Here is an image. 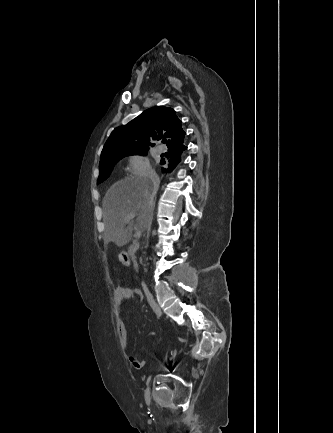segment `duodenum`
<instances>
[{
    "label": "duodenum",
    "instance_id": "obj_1",
    "mask_svg": "<svg viewBox=\"0 0 333 433\" xmlns=\"http://www.w3.org/2000/svg\"><path fill=\"white\" fill-rule=\"evenodd\" d=\"M135 242L133 241L130 245H129V248H128V254H129V258H133L132 259V262L134 263L133 264V267L134 268H137L138 267V264L136 263L138 260L136 259V258H134V248L136 247L135 246Z\"/></svg>",
    "mask_w": 333,
    "mask_h": 433
}]
</instances>
